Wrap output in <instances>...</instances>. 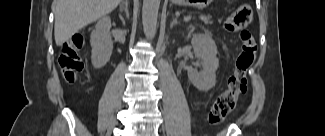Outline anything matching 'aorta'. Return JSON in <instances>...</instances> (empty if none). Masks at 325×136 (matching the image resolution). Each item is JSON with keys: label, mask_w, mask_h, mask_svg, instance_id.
<instances>
[{"label": "aorta", "mask_w": 325, "mask_h": 136, "mask_svg": "<svg viewBox=\"0 0 325 136\" xmlns=\"http://www.w3.org/2000/svg\"><path fill=\"white\" fill-rule=\"evenodd\" d=\"M160 0H143L142 24L145 36L153 39L156 34Z\"/></svg>", "instance_id": "aorta-1"}]
</instances>
